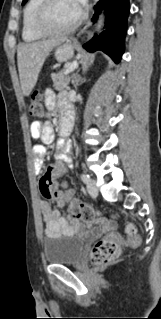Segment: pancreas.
<instances>
[{"mask_svg":"<svg viewBox=\"0 0 161 319\" xmlns=\"http://www.w3.org/2000/svg\"><path fill=\"white\" fill-rule=\"evenodd\" d=\"M51 77L54 83V89L57 91H61L66 88L70 81V77L65 74V69L61 70L58 73H53Z\"/></svg>","mask_w":161,"mask_h":319,"instance_id":"obj_1","label":"pancreas"}]
</instances>
